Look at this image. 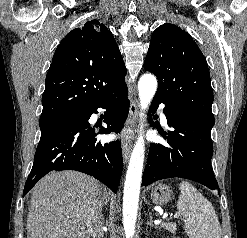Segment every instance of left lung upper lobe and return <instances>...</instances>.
Wrapping results in <instances>:
<instances>
[{"mask_svg":"<svg viewBox=\"0 0 247 238\" xmlns=\"http://www.w3.org/2000/svg\"><path fill=\"white\" fill-rule=\"evenodd\" d=\"M144 68L157 76L155 96L166 107L213 127L208 65L189 34L173 24L159 26L152 34Z\"/></svg>","mask_w":247,"mask_h":238,"instance_id":"5c2ea615","label":"left lung upper lobe"}]
</instances>
